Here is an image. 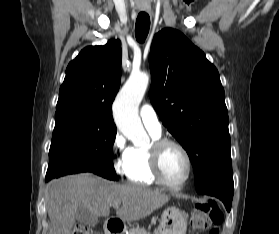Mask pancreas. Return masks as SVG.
Segmentation results:
<instances>
[{"instance_id":"obj_1","label":"pancreas","mask_w":279,"mask_h":234,"mask_svg":"<svg viewBox=\"0 0 279 234\" xmlns=\"http://www.w3.org/2000/svg\"><path fill=\"white\" fill-rule=\"evenodd\" d=\"M127 234H150L146 232L144 228H132Z\"/></svg>"}]
</instances>
